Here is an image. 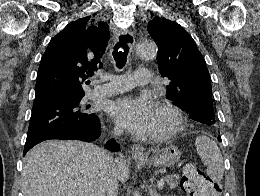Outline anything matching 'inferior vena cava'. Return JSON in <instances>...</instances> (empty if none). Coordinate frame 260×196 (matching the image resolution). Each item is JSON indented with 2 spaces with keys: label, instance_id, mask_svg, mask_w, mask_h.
<instances>
[{
  "label": "inferior vena cava",
  "instance_id": "obj_1",
  "mask_svg": "<svg viewBox=\"0 0 260 196\" xmlns=\"http://www.w3.org/2000/svg\"><path fill=\"white\" fill-rule=\"evenodd\" d=\"M120 134V132H118ZM105 164H107L108 174L106 176V184H105V194L106 196H118V182L115 170V164L119 162V160H115L112 156H104L103 158ZM103 196V194H100Z\"/></svg>",
  "mask_w": 260,
  "mask_h": 196
}]
</instances>
